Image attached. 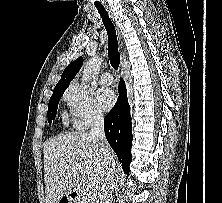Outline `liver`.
Here are the masks:
<instances>
[{"instance_id": "obj_1", "label": "liver", "mask_w": 222, "mask_h": 203, "mask_svg": "<svg viewBox=\"0 0 222 203\" xmlns=\"http://www.w3.org/2000/svg\"><path fill=\"white\" fill-rule=\"evenodd\" d=\"M109 151L115 162L110 146ZM43 153L46 203H57L76 190L80 181L94 187L105 169L99 142L86 132H69L51 138L45 142Z\"/></svg>"}]
</instances>
